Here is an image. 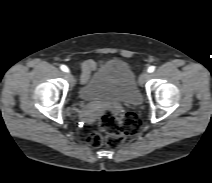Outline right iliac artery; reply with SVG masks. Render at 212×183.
Listing matches in <instances>:
<instances>
[{"instance_id":"82829eb1","label":"right iliac artery","mask_w":212,"mask_h":183,"mask_svg":"<svg viewBox=\"0 0 212 183\" xmlns=\"http://www.w3.org/2000/svg\"><path fill=\"white\" fill-rule=\"evenodd\" d=\"M60 69H61L62 71H64V72H69L68 67L65 66V65H61V66H60Z\"/></svg>"}]
</instances>
